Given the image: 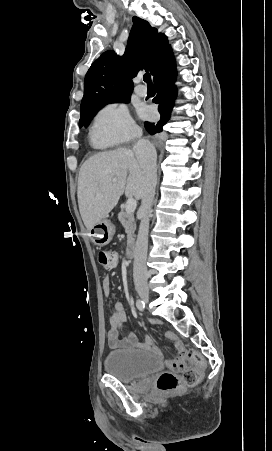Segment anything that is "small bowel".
<instances>
[{"label":"small bowel","instance_id":"obj_1","mask_svg":"<svg viewBox=\"0 0 272 451\" xmlns=\"http://www.w3.org/2000/svg\"><path fill=\"white\" fill-rule=\"evenodd\" d=\"M103 292L106 296L111 295V280L105 276L102 280ZM127 321V314L123 303L116 302L114 304V311L109 317L110 329L107 331V343L112 348L132 347L136 349L151 350L156 355L162 357L163 351L154 345L150 336L145 337L144 343L139 342L137 336L130 332L122 335L121 330ZM166 337L173 342L174 348H185L183 342L174 332H167Z\"/></svg>","mask_w":272,"mask_h":451}]
</instances>
